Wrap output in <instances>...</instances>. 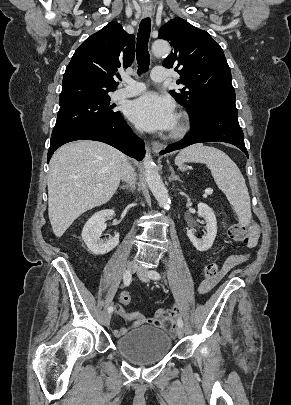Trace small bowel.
Segmentation results:
<instances>
[{"instance_id": "obj_1", "label": "small bowel", "mask_w": 291, "mask_h": 405, "mask_svg": "<svg viewBox=\"0 0 291 405\" xmlns=\"http://www.w3.org/2000/svg\"><path fill=\"white\" fill-rule=\"evenodd\" d=\"M259 236L258 228L255 225L250 227V238L248 241V246L250 248L254 247L257 243ZM247 259V255H231L227 258L224 262L222 269L219 272V275L214 280H204L199 286V293L204 294L210 291L218 279L228 273L231 269L236 267L237 265L243 263ZM121 303V305H116L114 308L115 314L124 318L125 320L132 321V328L138 327L144 323L151 324V325H159L161 327H166V322L170 321L171 323H175L177 316L179 314V307L174 305L170 308H161L158 309L155 313L154 317H146L139 312H127ZM128 331L125 327L116 328L113 330V335L115 337H121L126 334Z\"/></svg>"}]
</instances>
